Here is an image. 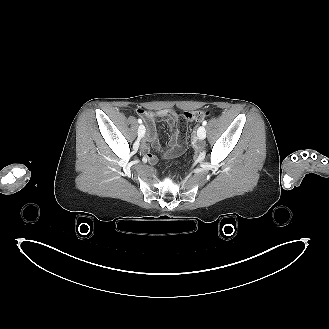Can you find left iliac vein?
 I'll use <instances>...</instances> for the list:
<instances>
[{
  "instance_id": "left-iliac-vein-1",
  "label": "left iliac vein",
  "mask_w": 329,
  "mask_h": 329,
  "mask_svg": "<svg viewBox=\"0 0 329 329\" xmlns=\"http://www.w3.org/2000/svg\"><path fill=\"white\" fill-rule=\"evenodd\" d=\"M197 137L199 140H204L206 138V129L204 126H200L197 130Z\"/></svg>"
}]
</instances>
